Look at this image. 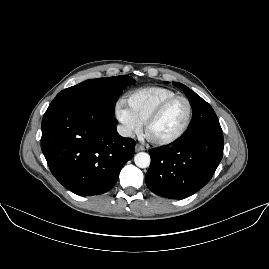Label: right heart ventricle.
<instances>
[{
	"label": "right heart ventricle",
	"instance_id": "e07e8e85",
	"mask_svg": "<svg viewBox=\"0 0 269 269\" xmlns=\"http://www.w3.org/2000/svg\"><path fill=\"white\" fill-rule=\"evenodd\" d=\"M175 96H178L175 91L164 87L139 89L128 95V109L142 126L160 104Z\"/></svg>",
	"mask_w": 269,
	"mask_h": 269
}]
</instances>
